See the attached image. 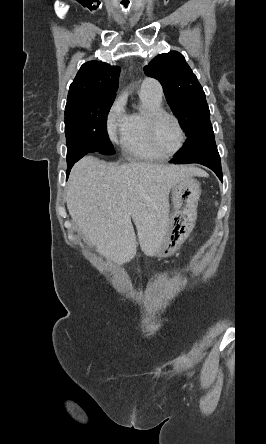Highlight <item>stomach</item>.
Returning a JSON list of instances; mask_svg holds the SVG:
<instances>
[{"mask_svg":"<svg viewBox=\"0 0 266 444\" xmlns=\"http://www.w3.org/2000/svg\"><path fill=\"white\" fill-rule=\"evenodd\" d=\"M201 190L197 180L188 177L172 188L173 212L168 220L166 235L157 254H170L176 247L171 246L176 239L181 242L194 227L197 217V204Z\"/></svg>","mask_w":266,"mask_h":444,"instance_id":"obj_1","label":"stomach"}]
</instances>
